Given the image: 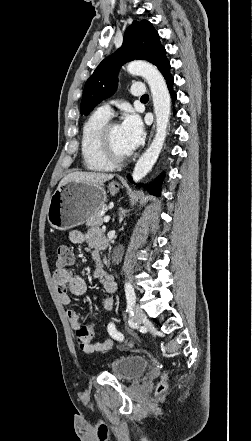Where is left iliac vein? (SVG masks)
Segmentation results:
<instances>
[{"mask_svg":"<svg viewBox=\"0 0 252 441\" xmlns=\"http://www.w3.org/2000/svg\"><path fill=\"white\" fill-rule=\"evenodd\" d=\"M144 318H145L144 311L139 306H135L134 307V316H133L134 321L137 324H140Z\"/></svg>","mask_w":252,"mask_h":441,"instance_id":"4c4485c4","label":"left iliac vein"}]
</instances>
